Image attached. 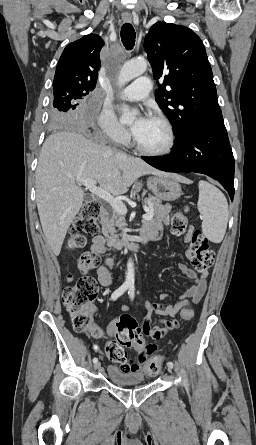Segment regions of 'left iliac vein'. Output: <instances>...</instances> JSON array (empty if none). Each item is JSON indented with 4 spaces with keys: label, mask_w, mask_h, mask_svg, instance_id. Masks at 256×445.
Here are the masks:
<instances>
[{
    "label": "left iliac vein",
    "mask_w": 256,
    "mask_h": 445,
    "mask_svg": "<svg viewBox=\"0 0 256 445\" xmlns=\"http://www.w3.org/2000/svg\"><path fill=\"white\" fill-rule=\"evenodd\" d=\"M168 370L171 371V367L168 366Z\"/></svg>",
    "instance_id": "obj_1"
}]
</instances>
